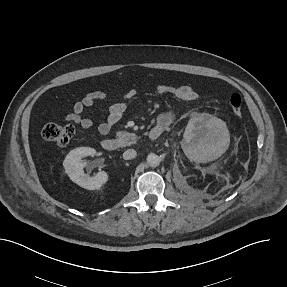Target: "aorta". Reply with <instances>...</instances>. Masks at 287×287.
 Returning <instances> with one entry per match:
<instances>
[{
    "instance_id": "obj_1",
    "label": "aorta",
    "mask_w": 287,
    "mask_h": 287,
    "mask_svg": "<svg viewBox=\"0 0 287 287\" xmlns=\"http://www.w3.org/2000/svg\"><path fill=\"white\" fill-rule=\"evenodd\" d=\"M147 163L149 166L151 167H156L159 165L160 163V158L158 155L154 154V153H150L148 156H147Z\"/></svg>"
}]
</instances>
